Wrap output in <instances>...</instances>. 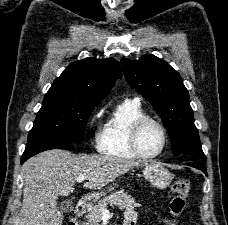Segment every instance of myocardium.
<instances>
[{
  "mask_svg": "<svg viewBox=\"0 0 228 225\" xmlns=\"http://www.w3.org/2000/svg\"><path fill=\"white\" fill-rule=\"evenodd\" d=\"M148 124L156 125L161 130L162 136H163L162 147H161L160 151L155 153V154L145 153L143 151V149L141 147V143H140L142 131ZM167 144H168V132H167L165 125L160 120H158L154 117L146 116V117H143V118L137 120L134 123L133 128H132V132H131V145H132L133 150L140 157H142L144 159L158 158L166 150Z\"/></svg>",
  "mask_w": 228,
  "mask_h": 225,
  "instance_id": "obj_1",
  "label": "myocardium"
}]
</instances>
